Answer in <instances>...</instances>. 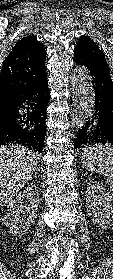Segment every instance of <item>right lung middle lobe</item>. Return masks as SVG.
Wrapping results in <instances>:
<instances>
[{
    "label": "right lung middle lobe",
    "instance_id": "right-lung-middle-lobe-1",
    "mask_svg": "<svg viewBox=\"0 0 113 279\" xmlns=\"http://www.w3.org/2000/svg\"><path fill=\"white\" fill-rule=\"evenodd\" d=\"M8 110H0V120L3 119L7 114H8Z\"/></svg>",
    "mask_w": 113,
    "mask_h": 279
}]
</instances>
